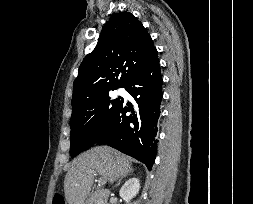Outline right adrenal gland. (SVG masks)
Wrapping results in <instances>:
<instances>
[{
	"label": "right adrenal gland",
	"mask_w": 253,
	"mask_h": 204,
	"mask_svg": "<svg viewBox=\"0 0 253 204\" xmlns=\"http://www.w3.org/2000/svg\"><path fill=\"white\" fill-rule=\"evenodd\" d=\"M124 177H126V175H125V176H123V177H120V179L117 181V183H116L115 187H117V186H119V185H120V182H121V180H122Z\"/></svg>",
	"instance_id": "obj_1"
}]
</instances>
